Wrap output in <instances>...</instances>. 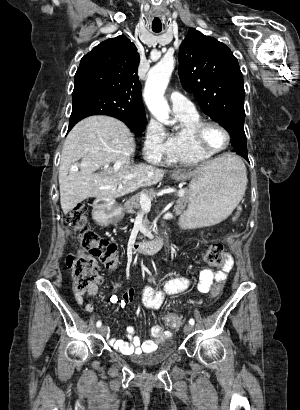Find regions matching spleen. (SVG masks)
<instances>
[{
  "label": "spleen",
  "mask_w": 300,
  "mask_h": 410,
  "mask_svg": "<svg viewBox=\"0 0 300 410\" xmlns=\"http://www.w3.org/2000/svg\"><path fill=\"white\" fill-rule=\"evenodd\" d=\"M232 166H233L234 168H236V170L238 171L239 174H241V176H242V183H243V191L245 192L246 184H247V174H246L245 165L243 164V162H242L239 158L234 157V158L232 159ZM244 192H243V194H244ZM243 194H242V195H243ZM237 210H238V211H237V213H236V216L233 217V221H235V220L237 219V217L239 216L240 211L242 210V207H241V206H238Z\"/></svg>",
  "instance_id": "3e777b00"
}]
</instances>
